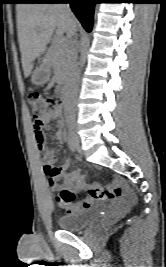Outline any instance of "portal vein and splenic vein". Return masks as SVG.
<instances>
[{
    "label": "portal vein and splenic vein",
    "mask_w": 166,
    "mask_h": 267,
    "mask_svg": "<svg viewBox=\"0 0 166 267\" xmlns=\"http://www.w3.org/2000/svg\"><path fill=\"white\" fill-rule=\"evenodd\" d=\"M63 40H61V39H57V42H62Z\"/></svg>",
    "instance_id": "obj_1"
}]
</instances>
